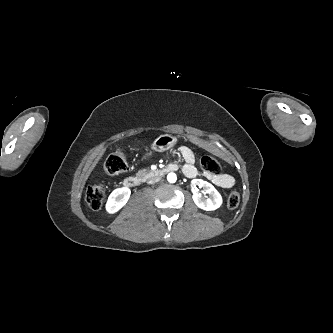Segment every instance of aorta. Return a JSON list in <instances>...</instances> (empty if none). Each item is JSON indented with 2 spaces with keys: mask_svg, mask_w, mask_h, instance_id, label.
<instances>
[{
  "mask_svg": "<svg viewBox=\"0 0 333 333\" xmlns=\"http://www.w3.org/2000/svg\"><path fill=\"white\" fill-rule=\"evenodd\" d=\"M167 180L169 183H175L177 181V175L171 172L167 175Z\"/></svg>",
  "mask_w": 333,
  "mask_h": 333,
  "instance_id": "aorta-1",
  "label": "aorta"
}]
</instances>
